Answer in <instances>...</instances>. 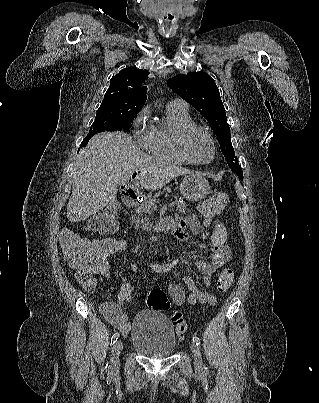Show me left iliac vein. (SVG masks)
Returning a JSON list of instances; mask_svg holds the SVG:
<instances>
[{
  "mask_svg": "<svg viewBox=\"0 0 319 403\" xmlns=\"http://www.w3.org/2000/svg\"><path fill=\"white\" fill-rule=\"evenodd\" d=\"M191 351L194 357V365L196 370L200 371L202 369V356L199 347L195 344H191Z\"/></svg>",
  "mask_w": 319,
  "mask_h": 403,
  "instance_id": "obj_1",
  "label": "left iliac vein"
}]
</instances>
